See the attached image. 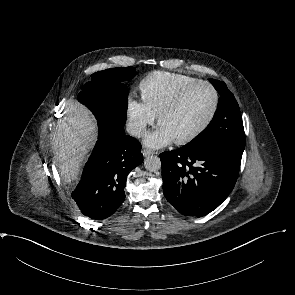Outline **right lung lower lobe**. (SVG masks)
<instances>
[{
	"label": "right lung lower lobe",
	"mask_w": 295,
	"mask_h": 295,
	"mask_svg": "<svg viewBox=\"0 0 295 295\" xmlns=\"http://www.w3.org/2000/svg\"><path fill=\"white\" fill-rule=\"evenodd\" d=\"M98 123V141L72 193L83 215L106 219L125 199L129 172L143 162L141 144L125 135L123 125Z\"/></svg>",
	"instance_id": "right-lung-lower-lobe-1"
}]
</instances>
